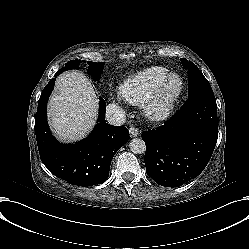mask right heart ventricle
Listing matches in <instances>:
<instances>
[{"instance_id": "e07e8e85", "label": "right heart ventricle", "mask_w": 249, "mask_h": 249, "mask_svg": "<svg viewBox=\"0 0 249 249\" xmlns=\"http://www.w3.org/2000/svg\"><path fill=\"white\" fill-rule=\"evenodd\" d=\"M168 69L153 66L130 75L120 86V94L135 105H143L158 89Z\"/></svg>"}]
</instances>
